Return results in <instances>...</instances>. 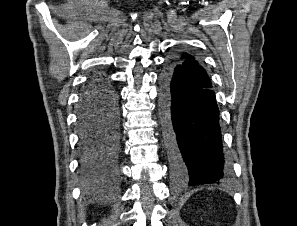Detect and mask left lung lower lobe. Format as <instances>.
<instances>
[{
  "label": "left lung lower lobe",
  "instance_id": "obj_1",
  "mask_svg": "<svg viewBox=\"0 0 297 226\" xmlns=\"http://www.w3.org/2000/svg\"><path fill=\"white\" fill-rule=\"evenodd\" d=\"M161 84L160 116L174 181L197 186L227 180L214 91L188 85L174 72L172 58Z\"/></svg>",
  "mask_w": 297,
  "mask_h": 226
}]
</instances>
